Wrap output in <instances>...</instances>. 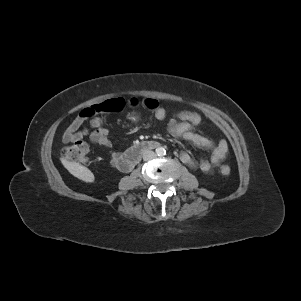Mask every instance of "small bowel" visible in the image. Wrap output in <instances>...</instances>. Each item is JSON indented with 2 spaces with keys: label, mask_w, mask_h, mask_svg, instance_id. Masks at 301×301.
Instances as JSON below:
<instances>
[{
  "label": "small bowel",
  "mask_w": 301,
  "mask_h": 301,
  "mask_svg": "<svg viewBox=\"0 0 301 301\" xmlns=\"http://www.w3.org/2000/svg\"><path fill=\"white\" fill-rule=\"evenodd\" d=\"M155 115L159 120L168 119L167 130L174 137L188 140L198 147L212 150L209 160L193 159L187 152L180 153V159L183 163L200 169L202 172L208 173L225 158L228 146L225 140L214 142L194 131V127L189 122H183L181 119L174 118L173 115L168 116L164 108L155 111ZM85 117L79 115L65 130L62 140L64 143H74L81 141L84 137H89L92 143L108 150L109 162L114 167L121 169V160L124 153L114 152L111 150L112 143L109 138V130L103 125L101 118L92 119L89 124L83 128L81 125Z\"/></svg>",
  "instance_id": "obj_1"
}]
</instances>
